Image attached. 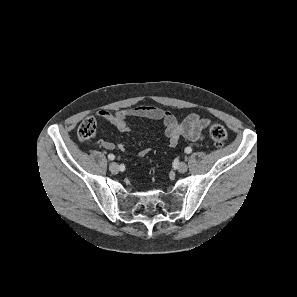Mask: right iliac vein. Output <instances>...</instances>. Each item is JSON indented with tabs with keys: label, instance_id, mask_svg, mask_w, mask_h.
Here are the masks:
<instances>
[{
	"label": "right iliac vein",
	"instance_id": "right-iliac-vein-1",
	"mask_svg": "<svg viewBox=\"0 0 297 297\" xmlns=\"http://www.w3.org/2000/svg\"><path fill=\"white\" fill-rule=\"evenodd\" d=\"M109 169L112 173H118L119 172V165L115 162H112L110 165H109Z\"/></svg>",
	"mask_w": 297,
	"mask_h": 297
}]
</instances>
